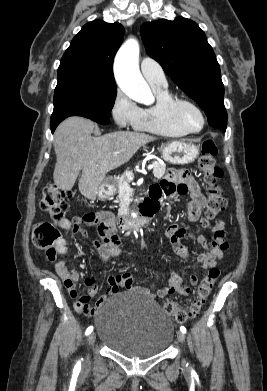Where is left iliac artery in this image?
Masks as SVG:
<instances>
[{
	"mask_svg": "<svg viewBox=\"0 0 267 391\" xmlns=\"http://www.w3.org/2000/svg\"><path fill=\"white\" fill-rule=\"evenodd\" d=\"M180 330L183 332V333H186V328L184 326H181L180 327Z\"/></svg>",
	"mask_w": 267,
	"mask_h": 391,
	"instance_id": "obj_1",
	"label": "left iliac artery"
}]
</instances>
